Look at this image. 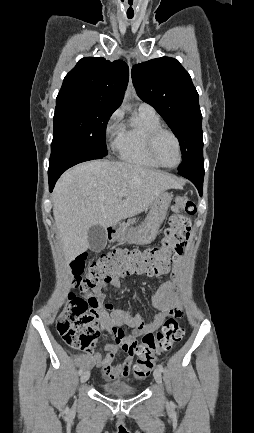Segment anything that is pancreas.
Wrapping results in <instances>:
<instances>
[{
  "label": "pancreas",
  "instance_id": "obj_1",
  "mask_svg": "<svg viewBox=\"0 0 254 433\" xmlns=\"http://www.w3.org/2000/svg\"><path fill=\"white\" fill-rule=\"evenodd\" d=\"M135 222V219H130V220H128L127 221V223H124L123 225H122V231H125L126 230V228L130 225V224H133Z\"/></svg>",
  "mask_w": 254,
  "mask_h": 433
}]
</instances>
